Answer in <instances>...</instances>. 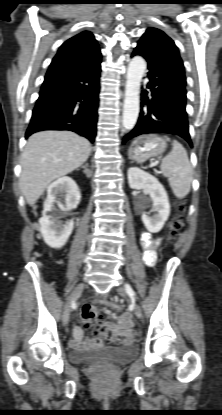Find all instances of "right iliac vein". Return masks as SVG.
<instances>
[{"mask_svg": "<svg viewBox=\"0 0 222 415\" xmlns=\"http://www.w3.org/2000/svg\"><path fill=\"white\" fill-rule=\"evenodd\" d=\"M85 288V284L84 283H80L76 286V288L74 289V291L70 294V296L68 297V301H67V305H66V309L64 311L63 317H62V321L63 324L66 325L69 321V315H70V307L72 302L82 293V291Z\"/></svg>", "mask_w": 222, "mask_h": 415, "instance_id": "63e3f726", "label": "right iliac vein"}]
</instances>
